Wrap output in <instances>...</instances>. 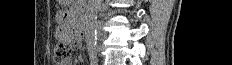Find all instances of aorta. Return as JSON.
<instances>
[{
  "mask_svg": "<svg viewBox=\"0 0 232 65\" xmlns=\"http://www.w3.org/2000/svg\"><path fill=\"white\" fill-rule=\"evenodd\" d=\"M102 0H89L84 15V34L86 46L90 57L96 55L97 49V18Z\"/></svg>",
  "mask_w": 232,
  "mask_h": 65,
  "instance_id": "762f6f07",
  "label": "aorta"
}]
</instances>
